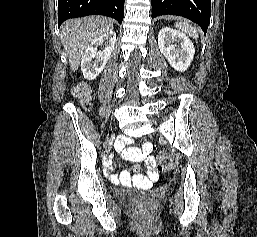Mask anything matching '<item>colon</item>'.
I'll return each instance as SVG.
<instances>
[{
	"instance_id": "5ec220e1",
	"label": "colon",
	"mask_w": 257,
	"mask_h": 237,
	"mask_svg": "<svg viewBox=\"0 0 257 237\" xmlns=\"http://www.w3.org/2000/svg\"><path fill=\"white\" fill-rule=\"evenodd\" d=\"M75 94L81 99L82 102H87L90 97V89L84 83H79L75 88ZM173 165V159L169 154L162 153L159 155V168L162 171L168 170ZM143 214L149 216V213L146 210H143Z\"/></svg>"
}]
</instances>
